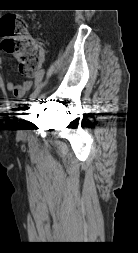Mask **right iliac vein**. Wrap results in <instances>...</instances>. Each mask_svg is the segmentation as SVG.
Instances as JSON below:
<instances>
[{
    "instance_id": "1",
    "label": "right iliac vein",
    "mask_w": 138,
    "mask_h": 253,
    "mask_svg": "<svg viewBox=\"0 0 138 253\" xmlns=\"http://www.w3.org/2000/svg\"><path fill=\"white\" fill-rule=\"evenodd\" d=\"M46 82L41 83L38 88L35 90V92L29 96V102L27 104V110L28 112H31L33 110V108L35 107V103H36V97L39 95L40 91L42 90V88L45 86ZM20 138L24 137V134L22 132H20L19 135Z\"/></svg>"
}]
</instances>
